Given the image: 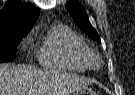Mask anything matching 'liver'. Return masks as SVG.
<instances>
[{"instance_id":"liver-1","label":"liver","mask_w":135,"mask_h":95,"mask_svg":"<svg viewBox=\"0 0 135 95\" xmlns=\"http://www.w3.org/2000/svg\"><path fill=\"white\" fill-rule=\"evenodd\" d=\"M88 84L77 74L0 64V95H69Z\"/></svg>"}]
</instances>
